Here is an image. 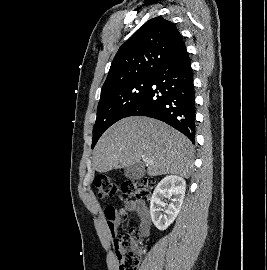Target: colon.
Returning <instances> with one entry per match:
<instances>
[{"label": "colon", "instance_id": "1", "mask_svg": "<svg viewBox=\"0 0 267 270\" xmlns=\"http://www.w3.org/2000/svg\"><path fill=\"white\" fill-rule=\"evenodd\" d=\"M152 186L153 182L148 178L126 181L120 186L106 176H97L94 179L96 194L102 200H111L118 193L125 198H141L149 194ZM106 209L113 211L111 206ZM141 242V233L136 229L114 236V247L120 270H138L142 256Z\"/></svg>", "mask_w": 267, "mask_h": 270}]
</instances>
